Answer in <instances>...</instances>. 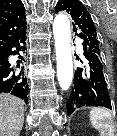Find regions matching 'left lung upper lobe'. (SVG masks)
Segmentation results:
<instances>
[{
    "label": "left lung upper lobe",
    "instance_id": "5c2ea615",
    "mask_svg": "<svg viewBox=\"0 0 117 136\" xmlns=\"http://www.w3.org/2000/svg\"><path fill=\"white\" fill-rule=\"evenodd\" d=\"M63 10L71 14L74 31H78V36L86 41L89 51L102 60L97 31L86 7L80 1L59 0L56 5V13Z\"/></svg>",
    "mask_w": 117,
    "mask_h": 136
}]
</instances>
